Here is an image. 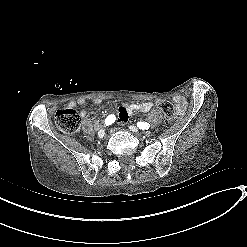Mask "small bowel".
<instances>
[{
    "instance_id": "small-bowel-1",
    "label": "small bowel",
    "mask_w": 247,
    "mask_h": 247,
    "mask_svg": "<svg viewBox=\"0 0 247 247\" xmlns=\"http://www.w3.org/2000/svg\"><path fill=\"white\" fill-rule=\"evenodd\" d=\"M175 102L178 105H185V100L183 97L178 96L175 98ZM85 100L82 98L76 99L74 101H72L69 105L70 107H76V106H82L84 105ZM93 103L95 105H99L101 103V99L99 98H95L93 99ZM154 108V103L152 102H142V103H124L118 106L117 109V119L118 122L123 123L125 122L129 115L133 112H149ZM81 117L83 118H87L88 117V113L85 110L81 111Z\"/></svg>"
}]
</instances>
